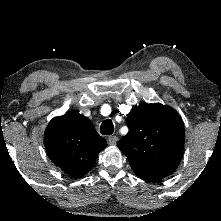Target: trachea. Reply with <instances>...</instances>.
Wrapping results in <instances>:
<instances>
[{"instance_id":"trachea-1","label":"trachea","mask_w":221,"mask_h":221,"mask_svg":"<svg viewBox=\"0 0 221 221\" xmlns=\"http://www.w3.org/2000/svg\"><path fill=\"white\" fill-rule=\"evenodd\" d=\"M114 132V125L111 120H105L100 126V133L103 135H111Z\"/></svg>"}]
</instances>
